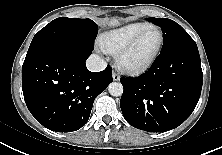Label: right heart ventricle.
<instances>
[{
    "label": "right heart ventricle",
    "mask_w": 222,
    "mask_h": 155,
    "mask_svg": "<svg viewBox=\"0 0 222 155\" xmlns=\"http://www.w3.org/2000/svg\"><path fill=\"white\" fill-rule=\"evenodd\" d=\"M150 26H152V24L147 22H134L123 25L102 34L100 37V45L102 49L108 53H118L133 38Z\"/></svg>",
    "instance_id": "right-heart-ventricle-1"
}]
</instances>
